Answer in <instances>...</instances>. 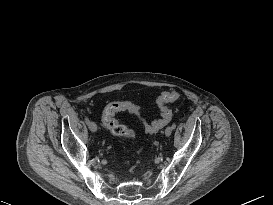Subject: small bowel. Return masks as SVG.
I'll list each match as a JSON object with an SVG mask.
<instances>
[{"label":"small bowel","mask_w":273,"mask_h":205,"mask_svg":"<svg viewBox=\"0 0 273 205\" xmlns=\"http://www.w3.org/2000/svg\"><path fill=\"white\" fill-rule=\"evenodd\" d=\"M114 103H117V102H114ZM121 103H123L126 107L133 105V104L130 103V102H121ZM122 111H127V112H128L127 109H124V110H122Z\"/></svg>","instance_id":"obj_1"}]
</instances>
